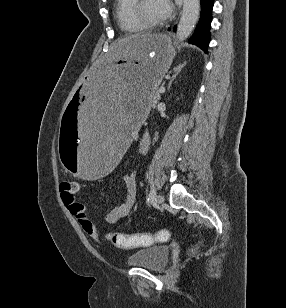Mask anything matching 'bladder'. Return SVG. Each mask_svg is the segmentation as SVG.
Returning a JSON list of instances; mask_svg holds the SVG:
<instances>
[{
  "instance_id": "bladder-1",
  "label": "bladder",
  "mask_w": 286,
  "mask_h": 308,
  "mask_svg": "<svg viewBox=\"0 0 286 308\" xmlns=\"http://www.w3.org/2000/svg\"><path fill=\"white\" fill-rule=\"evenodd\" d=\"M169 257L170 249L167 246H149L131 254L127 259V264L153 271H160L166 267Z\"/></svg>"
}]
</instances>
